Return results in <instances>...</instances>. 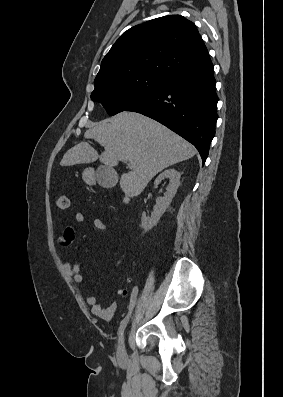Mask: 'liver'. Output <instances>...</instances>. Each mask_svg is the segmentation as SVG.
<instances>
[{"mask_svg":"<svg viewBox=\"0 0 283 397\" xmlns=\"http://www.w3.org/2000/svg\"><path fill=\"white\" fill-rule=\"evenodd\" d=\"M85 138L96 140L104 147L99 155L87 142L69 149L60 165L72 166L100 160L105 167L127 160L130 172L123 173L120 187L131 197L138 196L160 171L192 158V144L162 124L135 112H121L87 130Z\"/></svg>","mask_w":283,"mask_h":397,"instance_id":"1","label":"liver"}]
</instances>
